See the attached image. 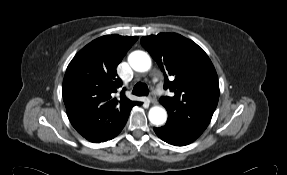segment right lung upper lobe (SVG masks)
I'll use <instances>...</instances> for the list:
<instances>
[{
  "mask_svg": "<svg viewBox=\"0 0 287 175\" xmlns=\"http://www.w3.org/2000/svg\"><path fill=\"white\" fill-rule=\"evenodd\" d=\"M137 36L106 35L80 50L67 67L63 100L73 127L87 140L104 142L128 119L133 106L141 102L117 93L122 81L116 67L137 41Z\"/></svg>",
  "mask_w": 287,
  "mask_h": 175,
  "instance_id": "cb5924a9",
  "label": "right lung upper lobe"
}]
</instances>
